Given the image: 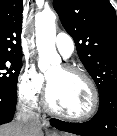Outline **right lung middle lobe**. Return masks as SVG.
<instances>
[{
	"label": "right lung middle lobe",
	"mask_w": 117,
	"mask_h": 136,
	"mask_svg": "<svg viewBox=\"0 0 117 136\" xmlns=\"http://www.w3.org/2000/svg\"><path fill=\"white\" fill-rule=\"evenodd\" d=\"M22 57L0 56V91L16 92Z\"/></svg>",
	"instance_id": "1"
}]
</instances>
